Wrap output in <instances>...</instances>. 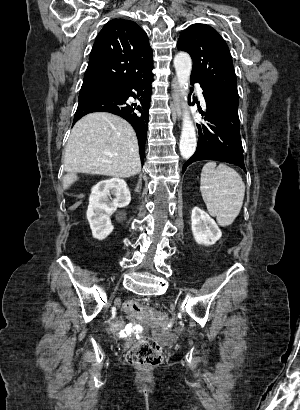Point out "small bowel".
Here are the masks:
<instances>
[{
    "mask_svg": "<svg viewBox=\"0 0 300 410\" xmlns=\"http://www.w3.org/2000/svg\"><path fill=\"white\" fill-rule=\"evenodd\" d=\"M125 328H127V332L129 333V332L134 331L136 329V326L132 324L124 326L122 323H116L111 326L110 330L113 333H120L124 331Z\"/></svg>",
    "mask_w": 300,
    "mask_h": 410,
    "instance_id": "1",
    "label": "small bowel"
}]
</instances>
